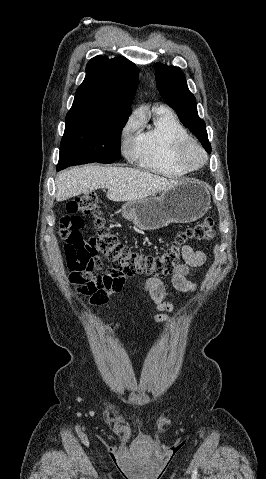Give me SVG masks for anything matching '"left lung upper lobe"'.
I'll list each match as a JSON object with an SVG mask.
<instances>
[{"label": "left lung upper lobe", "mask_w": 266, "mask_h": 479, "mask_svg": "<svg viewBox=\"0 0 266 479\" xmlns=\"http://www.w3.org/2000/svg\"><path fill=\"white\" fill-rule=\"evenodd\" d=\"M156 84L163 100L176 110L182 124L187 127L201 142L210 154L211 145L208 140L206 125L197 113L196 99L189 91L183 72L174 66L156 63Z\"/></svg>", "instance_id": "left-lung-upper-lobe-1"}]
</instances>
